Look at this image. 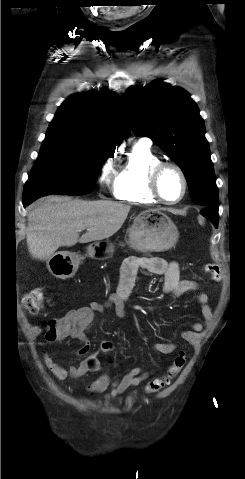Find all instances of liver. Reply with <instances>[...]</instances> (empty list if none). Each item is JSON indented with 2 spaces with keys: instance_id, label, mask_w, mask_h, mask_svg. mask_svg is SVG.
Segmentation results:
<instances>
[{
  "instance_id": "1",
  "label": "liver",
  "mask_w": 245,
  "mask_h": 479,
  "mask_svg": "<svg viewBox=\"0 0 245 479\" xmlns=\"http://www.w3.org/2000/svg\"><path fill=\"white\" fill-rule=\"evenodd\" d=\"M130 208L107 200H71L59 196L41 199L28 213V250L34 258L48 260L62 246L109 238L122 227ZM84 229L87 232L79 237Z\"/></svg>"
}]
</instances>
